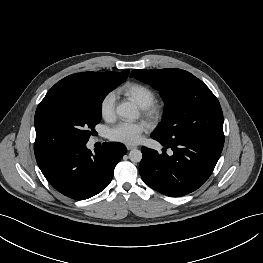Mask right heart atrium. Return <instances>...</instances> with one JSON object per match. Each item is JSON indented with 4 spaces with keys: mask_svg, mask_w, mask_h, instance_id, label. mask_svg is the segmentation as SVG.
Returning a JSON list of instances; mask_svg holds the SVG:
<instances>
[{
    "mask_svg": "<svg viewBox=\"0 0 263 263\" xmlns=\"http://www.w3.org/2000/svg\"><path fill=\"white\" fill-rule=\"evenodd\" d=\"M99 112L105 121H112L115 118V95L105 94L99 104Z\"/></svg>",
    "mask_w": 263,
    "mask_h": 263,
    "instance_id": "right-heart-atrium-1",
    "label": "right heart atrium"
}]
</instances>
